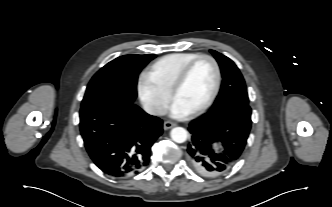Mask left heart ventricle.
<instances>
[{
  "mask_svg": "<svg viewBox=\"0 0 332 207\" xmlns=\"http://www.w3.org/2000/svg\"><path fill=\"white\" fill-rule=\"evenodd\" d=\"M215 83V71L209 60L197 62L185 83L178 90L174 101L191 112L201 106L210 96Z\"/></svg>",
  "mask_w": 332,
  "mask_h": 207,
  "instance_id": "b2bd125f",
  "label": "left heart ventricle"
}]
</instances>
